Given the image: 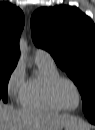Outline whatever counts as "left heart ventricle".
Instances as JSON below:
<instances>
[{
    "label": "left heart ventricle",
    "mask_w": 95,
    "mask_h": 130,
    "mask_svg": "<svg viewBox=\"0 0 95 130\" xmlns=\"http://www.w3.org/2000/svg\"><path fill=\"white\" fill-rule=\"evenodd\" d=\"M59 95L65 106L75 108L79 104V95L77 90L69 83L61 84Z\"/></svg>",
    "instance_id": "1"
}]
</instances>
